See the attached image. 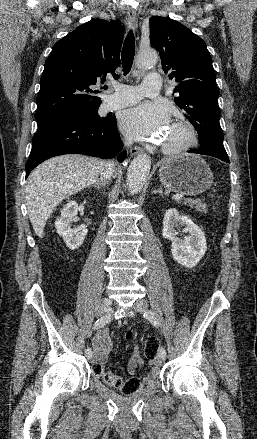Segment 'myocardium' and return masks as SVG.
<instances>
[{
	"label": "myocardium",
	"mask_w": 257,
	"mask_h": 439,
	"mask_svg": "<svg viewBox=\"0 0 257 439\" xmlns=\"http://www.w3.org/2000/svg\"><path fill=\"white\" fill-rule=\"evenodd\" d=\"M173 126L179 127L185 132V140L182 143L175 145H165L161 146V150L166 155H179L186 151L191 150L197 144V135L193 126L184 121V120H176L172 123Z\"/></svg>",
	"instance_id": "1"
}]
</instances>
